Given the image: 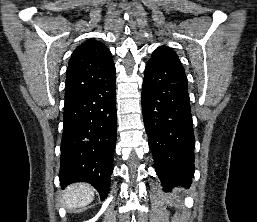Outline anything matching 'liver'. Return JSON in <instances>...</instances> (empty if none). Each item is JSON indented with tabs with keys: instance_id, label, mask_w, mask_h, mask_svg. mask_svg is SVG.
I'll return each instance as SVG.
<instances>
[{
	"instance_id": "1",
	"label": "liver",
	"mask_w": 257,
	"mask_h": 222,
	"mask_svg": "<svg viewBox=\"0 0 257 222\" xmlns=\"http://www.w3.org/2000/svg\"><path fill=\"white\" fill-rule=\"evenodd\" d=\"M64 199L67 209L85 207L93 201L94 189L87 183L72 184L65 189Z\"/></svg>"
}]
</instances>
